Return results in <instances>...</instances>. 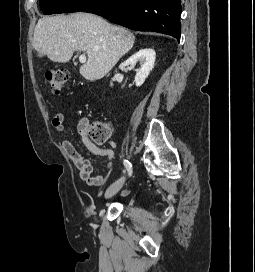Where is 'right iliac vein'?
<instances>
[{
	"mask_svg": "<svg viewBox=\"0 0 255 272\" xmlns=\"http://www.w3.org/2000/svg\"><path fill=\"white\" fill-rule=\"evenodd\" d=\"M125 182V178L122 177L120 179H118L117 181H115L105 192V198H111L112 196H114L124 185Z\"/></svg>",
	"mask_w": 255,
	"mask_h": 272,
	"instance_id": "1",
	"label": "right iliac vein"
}]
</instances>
